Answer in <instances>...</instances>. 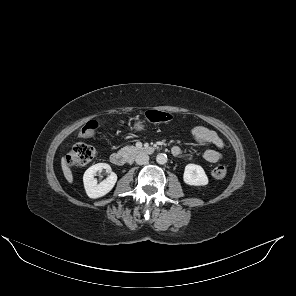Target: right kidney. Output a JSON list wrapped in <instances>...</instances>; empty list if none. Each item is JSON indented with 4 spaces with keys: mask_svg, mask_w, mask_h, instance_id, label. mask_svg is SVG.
<instances>
[{
    "mask_svg": "<svg viewBox=\"0 0 296 296\" xmlns=\"http://www.w3.org/2000/svg\"><path fill=\"white\" fill-rule=\"evenodd\" d=\"M103 169H106V171L110 173V175L101 183H98L97 179L94 178V176L98 171H101ZM116 181L117 175L111 171V167L106 163H98L89 167L85 171L83 176L86 194L88 195V197L93 199L102 197L109 193L115 186Z\"/></svg>",
    "mask_w": 296,
    "mask_h": 296,
    "instance_id": "obj_1",
    "label": "right kidney"
}]
</instances>
